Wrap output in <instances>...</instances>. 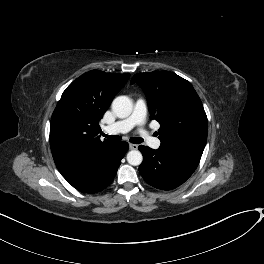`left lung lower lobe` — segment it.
<instances>
[{
    "instance_id": "left-lung-lower-lobe-1",
    "label": "left lung lower lobe",
    "mask_w": 264,
    "mask_h": 264,
    "mask_svg": "<svg viewBox=\"0 0 264 264\" xmlns=\"http://www.w3.org/2000/svg\"><path fill=\"white\" fill-rule=\"evenodd\" d=\"M143 162L139 172L151 186L171 190L183 184L195 171L200 159L185 153L139 146Z\"/></svg>"
}]
</instances>
